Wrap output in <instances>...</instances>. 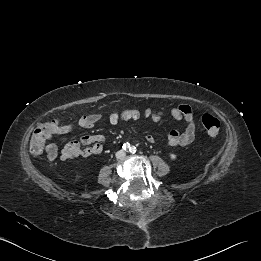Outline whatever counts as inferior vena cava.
I'll list each match as a JSON object with an SVG mask.
<instances>
[{
	"mask_svg": "<svg viewBox=\"0 0 261 261\" xmlns=\"http://www.w3.org/2000/svg\"><path fill=\"white\" fill-rule=\"evenodd\" d=\"M125 155H126V153H125V151H123V150H119V151H117L116 154H115V156H116L117 159H122V158L125 157Z\"/></svg>",
	"mask_w": 261,
	"mask_h": 261,
	"instance_id": "1",
	"label": "inferior vena cava"
}]
</instances>
